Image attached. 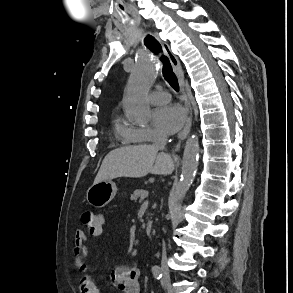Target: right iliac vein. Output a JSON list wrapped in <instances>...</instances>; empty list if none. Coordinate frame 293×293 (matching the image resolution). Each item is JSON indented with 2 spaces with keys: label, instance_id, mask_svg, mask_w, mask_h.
<instances>
[{
  "label": "right iliac vein",
  "instance_id": "right-iliac-vein-1",
  "mask_svg": "<svg viewBox=\"0 0 293 293\" xmlns=\"http://www.w3.org/2000/svg\"><path fill=\"white\" fill-rule=\"evenodd\" d=\"M163 280H164L165 286L167 287L168 293H174L169 276L166 275Z\"/></svg>",
  "mask_w": 293,
  "mask_h": 293
}]
</instances>
